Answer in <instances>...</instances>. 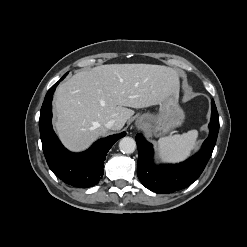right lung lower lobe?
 <instances>
[{"mask_svg": "<svg viewBox=\"0 0 247 247\" xmlns=\"http://www.w3.org/2000/svg\"><path fill=\"white\" fill-rule=\"evenodd\" d=\"M58 83L47 92L40 112L39 129L43 152L50 169L59 179L75 187H90L97 184L103 176L107 152L126 133L122 132L100 139L82 153L68 151L60 143L51 123L52 95Z\"/></svg>", "mask_w": 247, "mask_h": 247, "instance_id": "right-lung-lower-lobe-1", "label": "right lung lower lobe"}]
</instances>
